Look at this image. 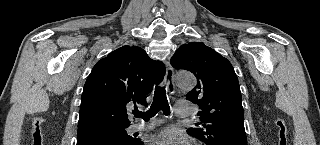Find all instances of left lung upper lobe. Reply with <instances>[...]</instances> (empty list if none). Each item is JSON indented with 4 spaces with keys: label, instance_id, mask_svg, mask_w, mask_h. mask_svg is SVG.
<instances>
[{
    "label": "left lung upper lobe",
    "instance_id": "obj_1",
    "mask_svg": "<svg viewBox=\"0 0 320 145\" xmlns=\"http://www.w3.org/2000/svg\"><path fill=\"white\" fill-rule=\"evenodd\" d=\"M170 63L197 78L187 98L202 110L197 114L201 122L187 132L206 145H224L231 140L247 144L241 91L231 63L202 42L183 44Z\"/></svg>",
    "mask_w": 320,
    "mask_h": 145
}]
</instances>
